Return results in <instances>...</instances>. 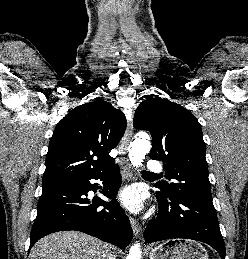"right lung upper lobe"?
I'll list each match as a JSON object with an SVG mask.
<instances>
[{
  "label": "right lung upper lobe",
  "instance_id": "obj_1",
  "mask_svg": "<svg viewBox=\"0 0 248 259\" xmlns=\"http://www.w3.org/2000/svg\"><path fill=\"white\" fill-rule=\"evenodd\" d=\"M125 128V115L107 101L97 100L71 110L51 137L42 184L106 171L115 160L109 153Z\"/></svg>",
  "mask_w": 248,
  "mask_h": 259
}]
</instances>
